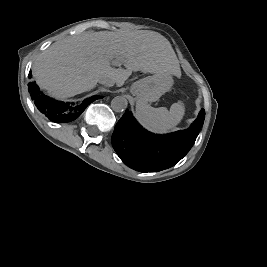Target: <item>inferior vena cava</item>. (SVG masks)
Listing matches in <instances>:
<instances>
[{"label": "inferior vena cava", "instance_id": "1", "mask_svg": "<svg viewBox=\"0 0 267 267\" xmlns=\"http://www.w3.org/2000/svg\"><path fill=\"white\" fill-rule=\"evenodd\" d=\"M100 84L105 85L107 87H111L115 84V80L112 78L102 77L98 81Z\"/></svg>", "mask_w": 267, "mask_h": 267}]
</instances>
